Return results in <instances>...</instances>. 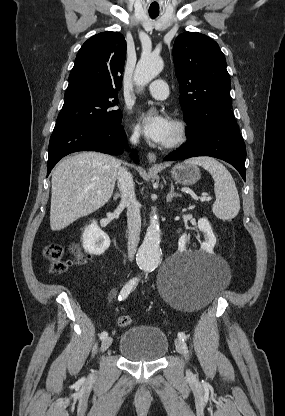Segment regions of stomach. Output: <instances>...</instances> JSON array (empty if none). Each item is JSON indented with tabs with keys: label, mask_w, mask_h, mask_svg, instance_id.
Instances as JSON below:
<instances>
[{
	"label": "stomach",
	"mask_w": 285,
	"mask_h": 416,
	"mask_svg": "<svg viewBox=\"0 0 285 416\" xmlns=\"http://www.w3.org/2000/svg\"><path fill=\"white\" fill-rule=\"evenodd\" d=\"M157 170H161V168H157ZM171 176L178 184L191 186L200 180V170L195 164H177L172 168Z\"/></svg>",
	"instance_id": "0dacf381"
}]
</instances>
